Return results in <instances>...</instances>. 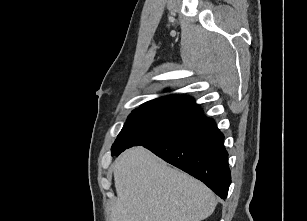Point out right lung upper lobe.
<instances>
[{
  "label": "right lung upper lobe",
  "instance_id": "right-lung-upper-lobe-1",
  "mask_svg": "<svg viewBox=\"0 0 307 221\" xmlns=\"http://www.w3.org/2000/svg\"><path fill=\"white\" fill-rule=\"evenodd\" d=\"M149 102H172V103H184L196 106L193 98L188 96H178V95H168L164 97H159L157 99L151 100Z\"/></svg>",
  "mask_w": 307,
  "mask_h": 221
}]
</instances>
